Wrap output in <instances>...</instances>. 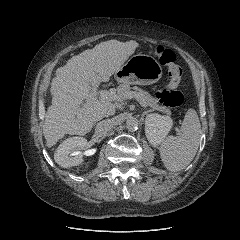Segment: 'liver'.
<instances>
[{
  "label": "liver",
  "instance_id": "obj_1",
  "mask_svg": "<svg viewBox=\"0 0 240 240\" xmlns=\"http://www.w3.org/2000/svg\"><path fill=\"white\" fill-rule=\"evenodd\" d=\"M137 47L135 41L108 40L73 56L57 69L50 89L52 105L43 125L47 147L54 146L65 134L85 135L96 122L115 114L112 101L116 97H100L92 102L87 98L94 86L110 80Z\"/></svg>",
  "mask_w": 240,
  "mask_h": 240
}]
</instances>
